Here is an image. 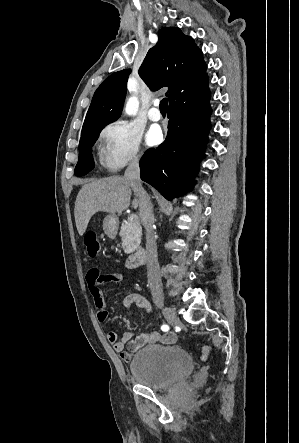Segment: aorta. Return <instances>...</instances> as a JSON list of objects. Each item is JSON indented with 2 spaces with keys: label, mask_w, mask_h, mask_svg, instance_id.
<instances>
[{
  "label": "aorta",
  "mask_w": 299,
  "mask_h": 443,
  "mask_svg": "<svg viewBox=\"0 0 299 443\" xmlns=\"http://www.w3.org/2000/svg\"><path fill=\"white\" fill-rule=\"evenodd\" d=\"M137 106H138L137 98L136 97L129 98L125 108L126 113L129 115L134 114L136 112Z\"/></svg>",
  "instance_id": "aorta-1"
}]
</instances>
